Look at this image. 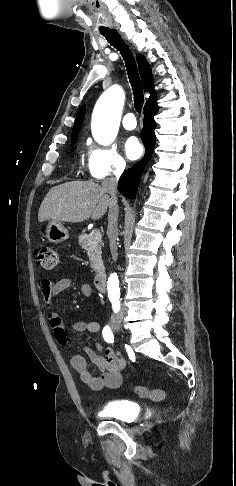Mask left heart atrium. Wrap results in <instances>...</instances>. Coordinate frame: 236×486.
Listing matches in <instances>:
<instances>
[{
    "instance_id": "1",
    "label": "left heart atrium",
    "mask_w": 236,
    "mask_h": 486,
    "mask_svg": "<svg viewBox=\"0 0 236 486\" xmlns=\"http://www.w3.org/2000/svg\"><path fill=\"white\" fill-rule=\"evenodd\" d=\"M126 156L131 159H137L142 153V146L136 137H129L124 143Z\"/></svg>"
}]
</instances>
